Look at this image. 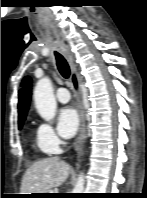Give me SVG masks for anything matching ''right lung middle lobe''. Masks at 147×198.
<instances>
[{
    "label": "right lung middle lobe",
    "mask_w": 147,
    "mask_h": 198,
    "mask_svg": "<svg viewBox=\"0 0 147 198\" xmlns=\"http://www.w3.org/2000/svg\"><path fill=\"white\" fill-rule=\"evenodd\" d=\"M24 120H25V119H22V120H19V121H18V128H19V129L22 128L23 123H24Z\"/></svg>",
    "instance_id": "obj_1"
}]
</instances>
